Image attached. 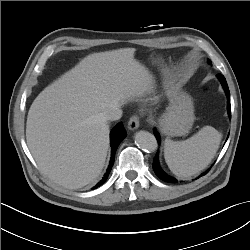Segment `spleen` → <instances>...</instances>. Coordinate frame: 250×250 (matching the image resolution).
<instances>
[{
	"instance_id": "3e777b00",
	"label": "spleen",
	"mask_w": 250,
	"mask_h": 250,
	"mask_svg": "<svg viewBox=\"0 0 250 250\" xmlns=\"http://www.w3.org/2000/svg\"><path fill=\"white\" fill-rule=\"evenodd\" d=\"M221 139L222 134L212 126H204L198 133L183 141L166 139L165 161L174 175L189 178L210 164Z\"/></svg>"
}]
</instances>
